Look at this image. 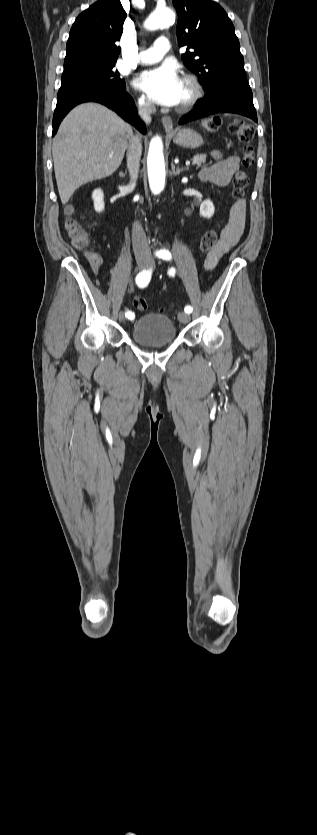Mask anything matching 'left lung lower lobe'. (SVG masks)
<instances>
[{
	"mask_svg": "<svg viewBox=\"0 0 317 835\" xmlns=\"http://www.w3.org/2000/svg\"><path fill=\"white\" fill-rule=\"evenodd\" d=\"M216 113H236L257 122L252 91L247 80H233L213 97L204 96L195 108L180 119L184 124Z\"/></svg>",
	"mask_w": 317,
	"mask_h": 835,
	"instance_id": "left-lung-lower-lobe-1",
	"label": "left lung lower lobe"
}]
</instances>
